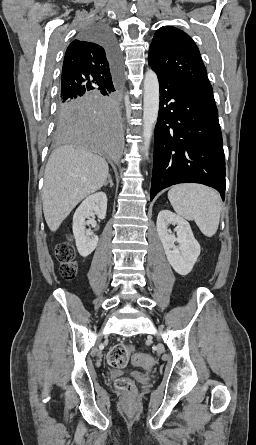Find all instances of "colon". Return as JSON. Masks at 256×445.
Returning a JSON list of instances; mask_svg holds the SVG:
<instances>
[{
    "label": "colon",
    "mask_w": 256,
    "mask_h": 445,
    "mask_svg": "<svg viewBox=\"0 0 256 445\" xmlns=\"http://www.w3.org/2000/svg\"><path fill=\"white\" fill-rule=\"evenodd\" d=\"M56 255L61 261V273L67 280L73 279L76 274V264L74 262V248L68 242L60 243L56 247ZM133 356V347L130 344L119 343L114 345L107 354V362L115 368H124ZM136 364L150 363L151 359L146 354H137L133 358ZM116 388L125 394L135 392V383L132 379L121 377L116 380Z\"/></svg>",
    "instance_id": "obj_1"
}]
</instances>
